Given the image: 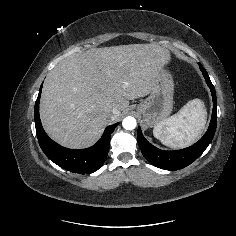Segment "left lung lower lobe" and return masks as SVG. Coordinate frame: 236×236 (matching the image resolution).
<instances>
[{
    "instance_id": "left-lung-lower-lobe-1",
    "label": "left lung lower lobe",
    "mask_w": 236,
    "mask_h": 236,
    "mask_svg": "<svg viewBox=\"0 0 236 236\" xmlns=\"http://www.w3.org/2000/svg\"><path fill=\"white\" fill-rule=\"evenodd\" d=\"M200 70L211 90L213 98L212 119L205 135L194 145L175 151H164L150 144L142 135L140 127L137 131V138L143 156L154 166L166 170H179L193 163L208 147L212 141L217 126V100L213 84L204 67L199 64Z\"/></svg>"
}]
</instances>
